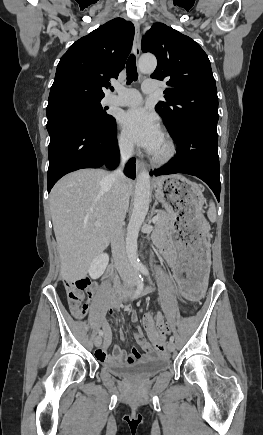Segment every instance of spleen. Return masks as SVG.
I'll use <instances>...</instances> for the list:
<instances>
[{
	"label": "spleen",
	"mask_w": 263,
	"mask_h": 435,
	"mask_svg": "<svg viewBox=\"0 0 263 435\" xmlns=\"http://www.w3.org/2000/svg\"><path fill=\"white\" fill-rule=\"evenodd\" d=\"M208 217L211 221H215L216 219V208L213 202L209 204Z\"/></svg>",
	"instance_id": "spleen-1"
}]
</instances>
